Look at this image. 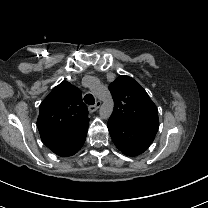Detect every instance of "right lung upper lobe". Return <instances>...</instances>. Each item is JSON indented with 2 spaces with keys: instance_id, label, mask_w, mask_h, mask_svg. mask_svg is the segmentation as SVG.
Wrapping results in <instances>:
<instances>
[{
  "instance_id": "obj_1",
  "label": "right lung upper lobe",
  "mask_w": 208,
  "mask_h": 208,
  "mask_svg": "<svg viewBox=\"0 0 208 208\" xmlns=\"http://www.w3.org/2000/svg\"><path fill=\"white\" fill-rule=\"evenodd\" d=\"M39 109L37 127L43 143L68 137L89 124L80 90L67 81L54 87Z\"/></svg>"
}]
</instances>
